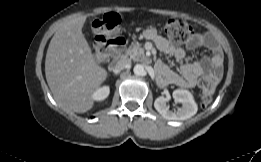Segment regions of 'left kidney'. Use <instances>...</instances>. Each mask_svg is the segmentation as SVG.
<instances>
[{
    "instance_id": "5707ae66",
    "label": "left kidney",
    "mask_w": 261,
    "mask_h": 162,
    "mask_svg": "<svg viewBox=\"0 0 261 162\" xmlns=\"http://www.w3.org/2000/svg\"><path fill=\"white\" fill-rule=\"evenodd\" d=\"M173 98L181 103L182 107L177 110H170L167 102L169 98L158 97L154 102L155 109L167 120H187L197 113L198 107L190 91L185 89H176L173 92Z\"/></svg>"
}]
</instances>
